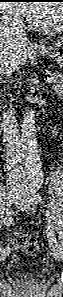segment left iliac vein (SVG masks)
Segmentation results:
<instances>
[{"label": "left iliac vein", "mask_w": 63, "mask_h": 297, "mask_svg": "<svg viewBox=\"0 0 63 297\" xmlns=\"http://www.w3.org/2000/svg\"><path fill=\"white\" fill-rule=\"evenodd\" d=\"M18 208L22 209V210H27L29 209V204H24V205H17ZM59 251H61V247L57 246V248L54 250V255L58 257Z\"/></svg>", "instance_id": "1"}]
</instances>
